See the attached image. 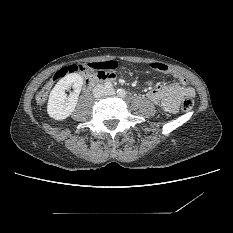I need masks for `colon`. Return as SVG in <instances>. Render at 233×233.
<instances>
[{"mask_svg":"<svg viewBox=\"0 0 233 233\" xmlns=\"http://www.w3.org/2000/svg\"><path fill=\"white\" fill-rule=\"evenodd\" d=\"M145 66L151 68L154 71L157 72H161V73H167V74H172V69L165 63L160 62V61H156V62H151L148 64H145ZM85 69L84 64L82 63H75L66 67H63L61 69H59L53 76L52 81L50 83H47L43 86L40 87V89L38 90L37 94H36V101L38 103H43L47 96L48 93L51 89V87L63 80L67 75L71 74V73H76V72H80L83 71ZM184 85H186V83H183ZM194 105V101L193 98L189 95L185 96L183 98L182 101V110L186 113H189L192 111Z\"/></svg>","mask_w":233,"mask_h":233,"instance_id":"obj_1","label":"colon"}]
</instances>
